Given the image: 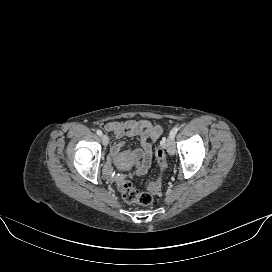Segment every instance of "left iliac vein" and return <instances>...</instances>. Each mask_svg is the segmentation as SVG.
I'll list each match as a JSON object with an SVG mask.
<instances>
[{
  "instance_id": "4c4485c4",
  "label": "left iliac vein",
  "mask_w": 272,
  "mask_h": 272,
  "mask_svg": "<svg viewBox=\"0 0 272 272\" xmlns=\"http://www.w3.org/2000/svg\"><path fill=\"white\" fill-rule=\"evenodd\" d=\"M166 148L170 155H174L175 145H174V140L172 137H168V139L166 140Z\"/></svg>"
}]
</instances>
